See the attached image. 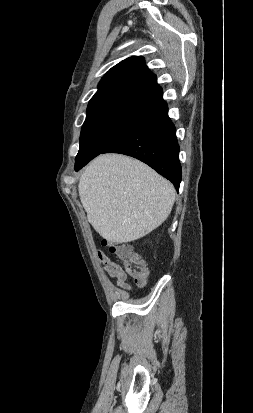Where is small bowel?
<instances>
[{
    "instance_id": "1",
    "label": "small bowel",
    "mask_w": 253,
    "mask_h": 413,
    "mask_svg": "<svg viewBox=\"0 0 253 413\" xmlns=\"http://www.w3.org/2000/svg\"><path fill=\"white\" fill-rule=\"evenodd\" d=\"M97 258L103 264L104 271L115 280L119 287L126 290L131 289V284L127 281V274L121 265L111 260L102 250L97 251Z\"/></svg>"
}]
</instances>
